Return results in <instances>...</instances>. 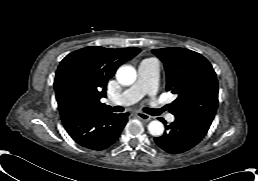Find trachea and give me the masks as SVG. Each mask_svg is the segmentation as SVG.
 Returning a JSON list of instances; mask_svg holds the SVG:
<instances>
[{
    "label": "trachea",
    "mask_w": 258,
    "mask_h": 181,
    "mask_svg": "<svg viewBox=\"0 0 258 181\" xmlns=\"http://www.w3.org/2000/svg\"><path fill=\"white\" fill-rule=\"evenodd\" d=\"M166 110V107L160 108V109H150V108H145L144 111L150 115L153 116H158L160 115L163 111ZM124 111V108L121 106H115L114 107V112H122Z\"/></svg>",
    "instance_id": "obj_1"
}]
</instances>
